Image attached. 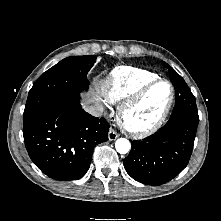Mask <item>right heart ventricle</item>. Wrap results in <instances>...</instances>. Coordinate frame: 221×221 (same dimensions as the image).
<instances>
[{
    "label": "right heart ventricle",
    "instance_id": "1",
    "mask_svg": "<svg viewBox=\"0 0 221 221\" xmlns=\"http://www.w3.org/2000/svg\"><path fill=\"white\" fill-rule=\"evenodd\" d=\"M158 75L146 69L131 66L115 68L105 81L102 90L104 98L111 104H118L132 98Z\"/></svg>",
    "mask_w": 221,
    "mask_h": 221
}]
</instances>
